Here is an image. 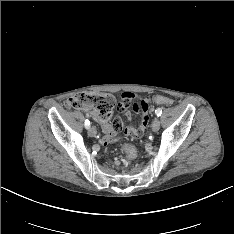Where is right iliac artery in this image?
Segmentation results:
<instances>
[{
  "instance_id": "1",
  "label": "right iliac artery",
  "mask_w": 234,
  "mask_h": 234,
  "mask_svg": "<svg viewBox=\"0 0 234 234\" xmlns=\"http://www.w3.org/2000/svg\"><path fill=\"white\" fill-rule=\"evenodd\" d=\"M85 127H86V129L90 128V122L88 120L85 121Z\"/></svg>"
}]
</instances>
